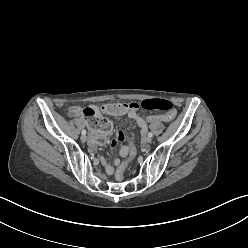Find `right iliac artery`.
Returning a JSON list of instances; mask_svg holds the SVG:
<instances>
[{"label": "right iliac artery", "instance_id": "82829eb1", "mask_svg": "<svg viewBox=\"0 0 248 248\" xmlns=\"http://www.w3.org/2000/svg\"><path fill=\"white\" fill-rule=\"evenodd\" d=\"M82 135H86V130H82Z\"/></svg>", "mask_w": 248, "mask_h": 248}]
</instances>
